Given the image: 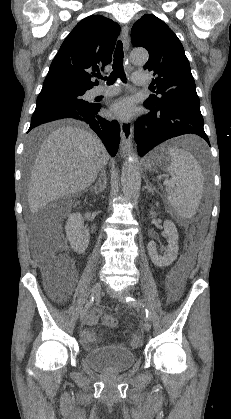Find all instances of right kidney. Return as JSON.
<instances>
[{
  "mask_svg": "<svg viewBox=\"0 0 231 419\" xmlns=\"http://www.w3.org/2000/svg\"><path fill=\"white\" fill-rule=\"evenodd\" d=\"M65 231L73 251L77 254L84 253L89 245L90 233L84 227V220L79 212L69 215Z\"/></svg>",
  "mask_w": 231,
  "mask_h": 419,
  "instance_id": "right-kidney-1",
  "label": "right kidney"
}]
</instances>
